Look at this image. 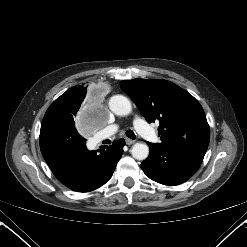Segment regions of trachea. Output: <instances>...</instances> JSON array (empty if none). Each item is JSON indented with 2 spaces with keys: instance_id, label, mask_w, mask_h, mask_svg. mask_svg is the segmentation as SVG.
<instances>
[{
  "instance_id": "3493384b",
  "label": "trachea",
  "mask_w": 247,
  "mask_h": 247,
  "mask_svg": "<svg viewBox=\"0 0 247 247\" xmlns=\"http://www.w3.org/2000/svg\"><path fill=\"white\" fill-rule=\"evenodd\" d=\"M126 136L129 137L130 139H135V133L132 130H127L126 131Z\"/></svg>"
}]
</instances>
